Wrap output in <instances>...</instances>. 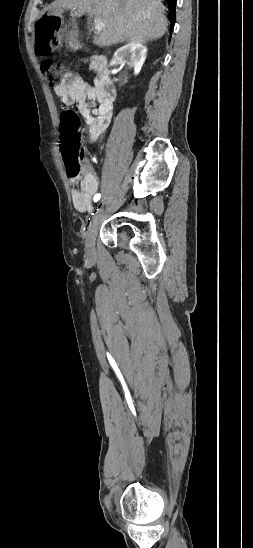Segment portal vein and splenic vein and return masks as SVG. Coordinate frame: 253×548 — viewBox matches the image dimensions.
<instances>
[{"label": "portal vein and splenic vein", "mask_w": 253, "mask_h": 548, "mask_svg": "<svg viewBox=\"0 0 253 548\" xmlns=\"http://www.w3.org/2000/svg\"><path fill=\"white\" fill-rule=\"evenodd\" d=\"M104 27V24L102 22L101 17H95L94 19V29L97 33H99L102 28Z\"/></svg>", "instance_id": "obj_1"}]
</instances>
